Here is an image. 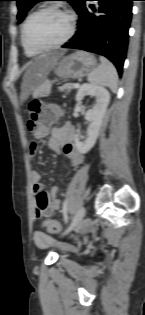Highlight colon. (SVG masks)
I'll return each instance as SVG.
<instances>
[{"instance_id":"5ec220e1","label":"colon","mask_w":145,"mask_h":315,"mask_svg":"<svg viewBox=\"0 0 145 315\" xmlns=\"http://www.w3.org/2000/svg\"><path fill=\"white\" fill-rule=\"evenodd\" d=\"M28 111L27 128L33 133L51 125L59 116V110L57 108L46 105L41 101L31 102ZM45 227L52 234L60 233L62 230V226L57 220L47 221Z\"/></svg>"}]
</instances>
